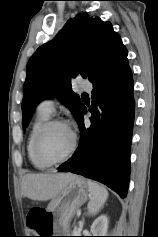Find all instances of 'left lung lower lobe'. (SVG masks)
Segmentation results:
<instances>
[{"label":"left lung lower lobe","mask_w":158,"mask_h":237,"mask_svg":"<svg viewBox=\"0 0 158 237\" xmlns=\"http://www.w3.org/2000/svg\"><path fill=\"white\" fill-rule=\"evenodd\" d=\"M133 86L127 59L93 84L91 126H84L87 109L83 106L77 119L81 131L79 147L58 171L99 181L121 198L127 195L135 110Z\"/></svg>","instance_id":"obj_1"}]
</instances>
